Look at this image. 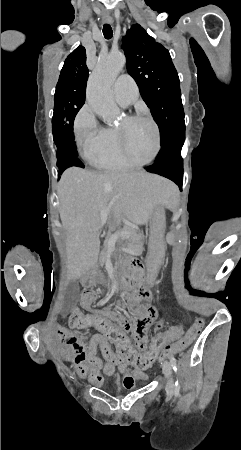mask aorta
Instances as JSON below:
<instances>
[{"label": "aorta", "mask_w": 241, "mask_h": 450, "mask_svg": "<svg viewBox=\"0 0 241 450\" xmlns=\"http://www.w3.org/2000/svg\"><path fill=\"white\" fill-rule=\"evenodd\" d=\"M125 62L124 54H109L98 60L88 80V104L107 123H112L119 114L112 96V85Z\"/></svg>", "instance_id": "obj_1"}]
</instances>
